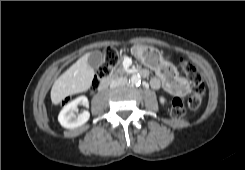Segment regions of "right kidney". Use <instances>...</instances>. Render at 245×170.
Here are the masks:
<instances>
[{"mask_svg":"<svg viewBox=\"0 0 245 170\" xmlns=\"http://www.w3.org/2000/svg\"><path fill=\"white\" fill-rule=\"evenodd\" d=\"M87 105L88 99L86 96H80L65 105L58 115V121L61 126L72 129L85 124L90 118V113L84 110L82 113L76 115L75 112L78 106Z\"/></svg>","mask_w":245,"mask_h":170,"instance_id":"right-kidney-1","label":"right kidney"}]
</instances>
